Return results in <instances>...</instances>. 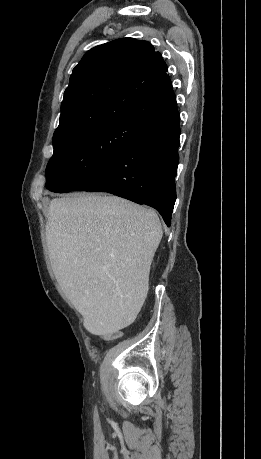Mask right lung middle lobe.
Returning a JSON list of instances; mask_svg holds the SVG:
<instances>
[{"label": "right lung middle lobe", "mask_w": 261, "mask_h": 459, "mask_svg": "<svg viewBox=\"0 0 261 459\" xmlns=\"http://www.w3.org/2000/svg\"><path fill=\"white\" fill-rule=\"evenodd\" d=\"M147 126L119 120L53 138L54 154L46 168L47 189L60 193L73 190L120 155Z\"/></svg>", "instance_id": "right-lung-middle-lobe-1"}]
</instances>
